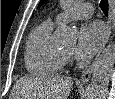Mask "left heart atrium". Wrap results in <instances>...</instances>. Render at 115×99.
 I'll return each mask as SVG.
<instances>
[{
	"instance_id": "left-heart-atrium-1",
	"label": "left heart atrium",
	"mask_w": 115,
	"mask_h": 99,
	"mask_svg": "<svg viewBox=\"0 0 115 99\" xmlns=\"http://www.w3.org/2000/svg\"><path fill=\"white\" fill-rule=\"evenodd\" d=\"M106 38L104 26L99 22L84 25L80 32L75 49L77 58L86 60L92 57L102 46Z\"/></svg>"
}]
</instances>
